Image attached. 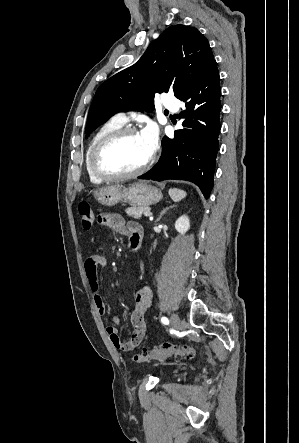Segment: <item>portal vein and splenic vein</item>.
I'll list each match as a JSON object with an SVG mask.
<instances>
[{
  "mask_svg": "<svg viewBox=\"0 0 299 443\" xmlns=\"http://www.w3.org/2000/svg\"><path fill=\"white\" fill-rule=\"evenodd\" d=\"M144 216H146V217H149V216H151V213H150V211H146V212H144Z\"/></svg>",
  "mask_w": 299,
  "mask_h": 443,
  "instance_id": "18ae733b",
  "label": "portal vein and splenic vein"
}]
</instances>
